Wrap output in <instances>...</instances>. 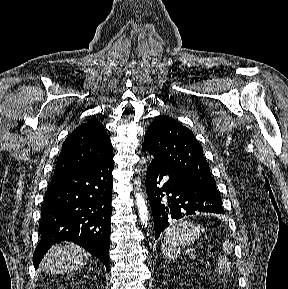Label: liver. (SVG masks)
<instances>
[{"instance_id": "6515ba94", "label": "liver", "mask_w": 288, "mask_h": 289, "mask_svg": "<svg viewBox=\"0 0 288 289\" xmlns=\"http://www.w3.org/2000/svg\"><path fill=\"white\" fill-rule=\"evenodd\" d=\"M90 254L77 245L55 244L42 261V270L49 274H65L78 270L89 260Z\"/></svg>"}]
</instances>
